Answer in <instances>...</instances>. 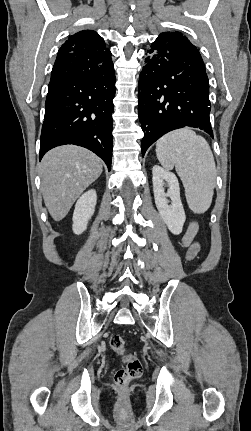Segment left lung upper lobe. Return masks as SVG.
<instances>
[{
	"mask_svg": "<svg viewBox=\"0 0 251 431\" xmlns=\"http://www.w3.org/2000/svg\"><path fill=\"white\" fill-rule=\"evenodd\" d=\"M165 33H168V34H176V35H180L181 33H179V32H165Z\"/></svg>",
	"mask_w": 251,
	"mask_h": 431,
	"instance_id": "5c2ea615",
	"label": "left lung upper lobe"
}]
</instances>
